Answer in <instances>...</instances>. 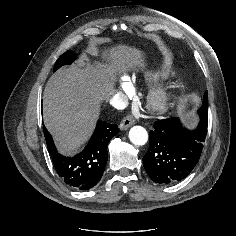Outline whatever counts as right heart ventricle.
<instances>
[{
    "instance_id": "e07e8e85",
    "label": "right heart ventricle",
    "mask_w": 236,
    "mask_h": 236,
    "mask_svg": "<svg viewBox=\"0 0 236 236\" xmlns=\"http://www.w3.org/2000/svg\"><path fill=\"white\" fill-rule=\"evenodd\" d=\"M128 80L130 81L131 85H133V83L135 82L136 80V77L134 75H126Z\"/></svg>"
}]
</instances>
